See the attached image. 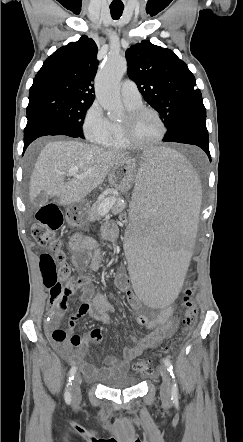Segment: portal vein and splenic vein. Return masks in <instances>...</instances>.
Listing matches in <instances>:
<instances>
[{
  "instance_id": "portal-vein-and-splenic-vein-1",
  "label": "portal vein and splenic vein",
  "mask_w": 243,
  "mask_h": 442,
  "mask_svg": "<svg viewBox=\"0 0 243 442\" xmlns=\"http://www.w3.org/2000/svg\"><path fill=\"white\" fill-rule=\"evenodd\" d=\"M78 171L79 168L78 167H71L67 173L68 176H78ZM114 199H110L105 201L99 208V212L100 214L103 216L105 214H107L109 212V210L111 209L112 205H113Z\"/></svg>"
}]
</instances>
